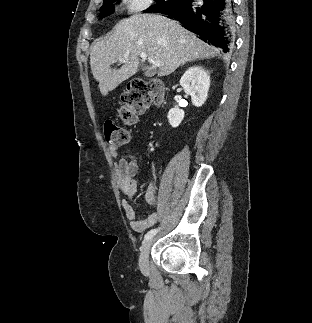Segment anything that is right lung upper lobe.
Returning <instances> with one entry per match:
<instances>
[{
    "instance_id": "cb5924a9",
    "label": "right lung upper lobe",
    "mask_w": 312,
    "mask_h": 323,
    "mask_svg": "<svg viewBox=\"0 0 312 323\" xmlns=\"http://www.w3.org/2000/svg\"><path fill=\"white\" fill-rule=\"evenodd\" d=\"M110 1H112V0H103V4L108 3ZM156 13H158V12H156Z\"/></svg>"
}]
</instances>
